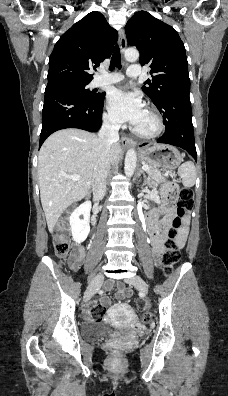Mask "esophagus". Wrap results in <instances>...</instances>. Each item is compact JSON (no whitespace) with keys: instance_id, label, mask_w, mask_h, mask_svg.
<instances>
[{"instance_id":"1","label":"esophagus","mask_w":228,"mask_h":396,"mask_svg":"<svg viewBox=\"0 0 228 396\" xmlns=\"http://www.w3.org/2000/svg\"><path fill=\"white\" fill-rule=\"evenodd\" d=\"M126 45H127V43H126L125 32L123 29H121L119 31V47H120L121 52H124ZM121 143L123 146H136V142L128 137H122Z\"/></svg>"}]
</instances>
